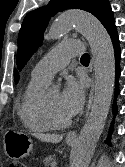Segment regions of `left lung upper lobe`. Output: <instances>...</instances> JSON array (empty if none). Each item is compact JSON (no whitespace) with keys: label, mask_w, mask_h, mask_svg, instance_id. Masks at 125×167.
I'll return each instance as SVG.
<instances>
[{"label":"left lung upper lobe","mask_w":125,"mask_h":167,"mask_svg":"<svg viewBox=\"0 0 125 167\" xmlns=\"http://www.w3.org/2000/svg\"><path fill=\"white\" fill-rule=\"evenodd\" d=\"M70 8L82 9L93 14L107 29L115 20L108 0H50L47 7L29 12L18 35L17 64L20 70L41 45L48 22L56 12Z\"/></svg>","instance_id":"left-lung-upper-lobe-1"}]
</instances>
